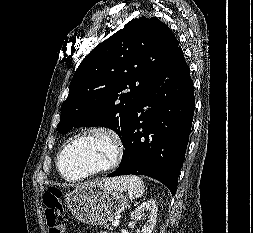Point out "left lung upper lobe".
Here are the masks:
<instances>
[{
	"mask_svg": "<svg viewBox=\"0 0 253 233\" xmlns=\"http://www.w3.org/2000/svg\"><path fill=\"white\" fill-rule=\"evenodd\" d=\"M178 45L168 26L155 17L128 22L77 68L57 131L103 126L122 139L132 114L164 76Z\"/></svg>",
	"mask_w": 253,
	"mask_h": 233,
	"instance_id": "1",
	"label": "left lung upper lobe"
}]
</instances>
